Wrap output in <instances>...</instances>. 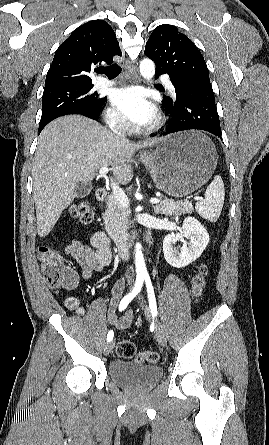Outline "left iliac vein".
Segmentation results:
<instances>
[{
	"label": "left iliac vein",
	"mask_w": 269,
	"mask_h": 445,
	"mask_svg": "<svg viewBox=\"0 0 269 445\" xmlns=\"http://www.w3.org/2000/svg\"><path fill=\"white\" fill-rule=\"evenodd\" d=\"M143 310H144L145 316L147 318H150V312H149V309H148V307L146 305L143 306ZM155 336H156V339H157L158 343L161 346H165L166 345L167 340H166L165 330H164L162 324L158 320H155Z\"/></svg>",
	"instance_id": "4c4485c4"
}]
</instances>
